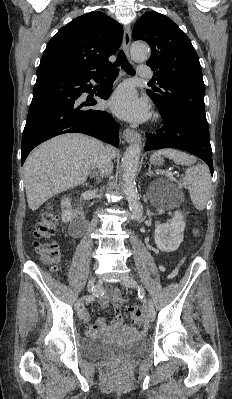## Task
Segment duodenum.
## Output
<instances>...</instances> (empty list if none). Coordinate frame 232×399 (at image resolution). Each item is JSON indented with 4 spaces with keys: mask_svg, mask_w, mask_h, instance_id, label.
<instances>
[{
    "mask_svg": "<svg viewBox=\"0 0 232 399\" xmlns=\"http://www.w3.org/2000/svg\"><path fill=\"white\" fill-rule=\"evenodd\" d=\"M87 227V220L81 209L79 202L75 204L73 209L72 218L69 224V232L74 237L81 236Z\"/></svg>",
    "mask_w": 232,
    "mask_h": 399,
    "instance_id": "duodenum-1",
    "label": "duodenum"
}]
</instances>
